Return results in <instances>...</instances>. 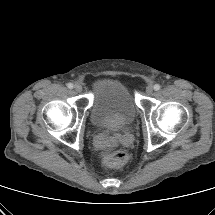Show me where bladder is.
I'll return each mask as SVG.
<instances>
[{"label":"bladder","instance_id":"obj_1","mask_svg":"<svg viewBox=\"0 0 215 215\" xmlns=\"http://www.w3.org/2000/svg\"><path fill=\"white\" fill-rule=\"evenodd\" d=\"M90 120L100 129L120 131L136 116V105L129 90L119 81L100 78L93 83Z\"/></svg>","mask_w":215,"mask_h":215}]
</instances>
